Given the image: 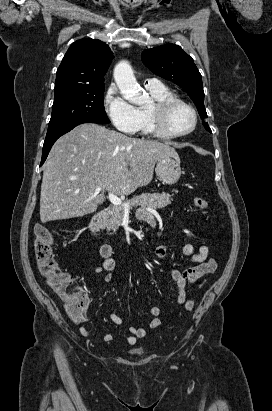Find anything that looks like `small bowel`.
Wrapping results in <instances>:
<instances>
[{
	"mask_svg": "<svg viewBox=\"0 0 272 411\" xmlns=\"http://www.w3.org/2000/svg\"><path fill=\"white\" fill-rule=\"evenodd\" d=\"M138 218L146 222L151 229H156V221L147 210H139ZM182 252L185 256L190 258L195 265L183 270L171 269L170 274L178 288L177 304L183 306L186 310L191 311L194 308L195 303L193 300L187 299L186 287L198 281H200V287L206 276L215 271L217 264L214 259L209 258V249L205 245H202L195 250L191 243H186L182 248ZM166 254L167 248L163 245H160L155 249V256L158 259H163ZM100 256L102 258V264L97 266L94 271L101 275L104 282L109 283L112 280V274L118 271L117 263L113 258V249L110 244L105 243L101 246ZM160 313L161 310L158 306H152L149 309V314L152 316V319L148 324L150 329H157L162 326L163 319L160 317ZM109 319L115 325L123 324V318L118 314L111 313ZM128 330L129 335L125 338V342L129 346L136 345L138 339L144 338L147 335V330L144 328L131 326ZM79 333L85 338L91 337L90 332L85 327H80ZM112 340L113 335L110 333H106L103 336V341L105 342H111Z\"/></svg>",
	"mask_w": 272,
	"mask_h": 411,
	"instance_id": "small-bowel-1",
	"label": "small bowel"
}]
</instances>
